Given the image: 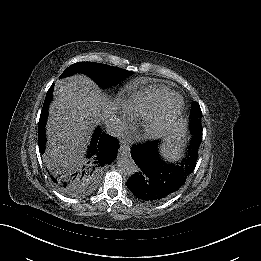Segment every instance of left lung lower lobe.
Returning a JSON list of instances; mask_svg holds the SVG:
<instances>
[{"instance_id":"1","label":"left lung lower lobe","mask_w":261,"mask_h":261,"mask_svg":"<svg viewBox=\"0 0 261 261\" xmlns=\"http://www.w3.org/2000/svg\"><path fill=\"white\" fill-rule=\"evenodd\" d=\"M201 141L202 139L193 137L188 157L180 166L168 165L160 160L158 141L133 146L131 156L140 169L128 179L127 187L143 201L159 202L169 198L180 189L193 171Z\"/></svg>"}]
</instances>
